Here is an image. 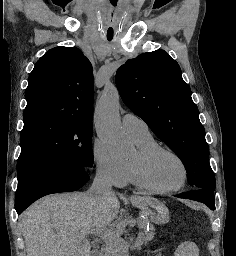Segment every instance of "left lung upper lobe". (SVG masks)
Returning <instances> with one entry per match:
<instances>
[{"mask_svg": "<svg viewBox=\"0 0 236 256\" xmlns=\"http://www.w3.org/2000/svg\"><path fill=\"white\" fill-rule=\"evenodd\" d=\"M116 85L124 103L181 159L188 183L214 191L205 130L178 63L163 50L141 54L118 69Z\"/></svg>", "mask_w": 236, "mask_h": 256, "instance_id": "5c2ea615", "label": "left lung upper lobe"}]
</instances>
